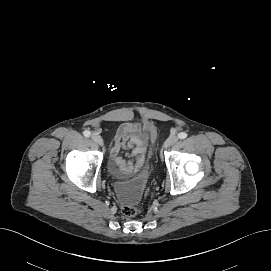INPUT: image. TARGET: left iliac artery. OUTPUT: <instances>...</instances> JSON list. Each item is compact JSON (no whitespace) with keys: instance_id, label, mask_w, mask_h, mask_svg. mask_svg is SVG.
Returning a JSON list of instances; mask_svg holds the SVG:
<instances>
[{"instance_id":"44dca946","label":"left iliac artery","mask_w":271,"mask_h":271,"mask_svg":"<svg viewBox=\"0 0 271 271\" xmlns=\"http://www.w3.org/2000/svg\"><path fill=\"white\" fill-rule=\"evenodd\" d=\"M178 137H179V139H185V138L187 137V133H185V132H180V133L178 134Z\"/></svg>"}]
</instances>
